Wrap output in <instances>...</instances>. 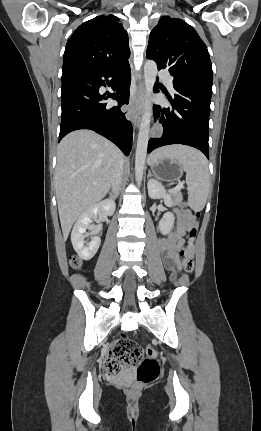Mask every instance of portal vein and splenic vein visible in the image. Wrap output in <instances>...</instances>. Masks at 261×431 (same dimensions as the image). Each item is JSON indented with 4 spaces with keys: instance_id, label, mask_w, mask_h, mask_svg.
<instances>
[{
    "instance_id": "1",
    "label": "portal vein and splenic vein",
    "mask_w": 261,
    "mask_h": 431,
    "mask_svg": "<svg viewBox=\"0 0 261 431\" xmlns=\"http://www.w3.org/2000/svg\"><path fill=\"white\" fill-rule=\"evenodd\" d=\"M96 183H94L95 185ZM183 187L182 183H178L177 186L173 189L170 190V192H175V191H179L181 188Z\"/></svg>"
}]
</instances>
